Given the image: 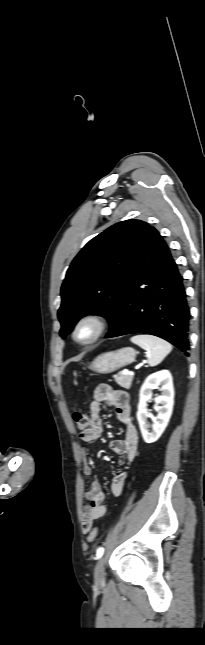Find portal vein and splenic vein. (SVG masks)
<instances>
[{
  "label": "portal vein and splenic vein",
  "instance_id": "1",
  "mask_svg": "<svg viewBox=\"0 0 205 645\" xmlns=\"http://www.w3.org/2000/svg\"><path fill=\"white\" fill-rule=\"evenodd\" d=\"M123 374L128 375V374H133V372H130V371H128V370H124V371H123Z\"/></svg>",
  "mask_w": 205,
  "mask_h": 645
}]
</instances>
